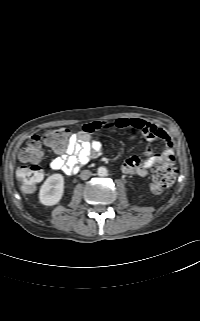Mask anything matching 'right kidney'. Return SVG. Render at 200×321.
Listing matches in <instances>:
<instances>
[{"label":"right kidney","instance_id":"1","mask_svg":"<svg viewBox=\"0 0 200 321\" xmlns=\"http://www.w3.org/2000/svg\"><path fill=\"white\" fill-rule=\"evenodd\" d=\"M64 193V178L55 173L49 176L40 188L39 199L43 205H56Z\"/></svg>","mask_w":200,"mask_h":321}]
</instances>
